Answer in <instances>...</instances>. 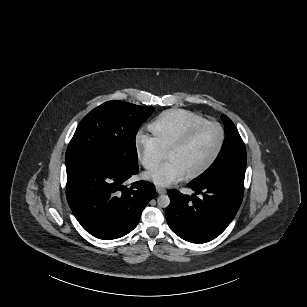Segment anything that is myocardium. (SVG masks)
Instances as JSON below:
<instances>
[{"instance_id": "myocardium-1", "label": "myocardium", "mask_w": 307, "mask_h": 307, "mask_svg": "<svg viewBox=\"0 0 307 307\" xmlns=\"http://www.w3.org/2000/svg\"><path fill=\"white\" fill-rule=\"evenodd\" d=\"M212 126H217V127L220 128L221 133H222L221 143H220L217 151L212 156V158L203 167H201L199 170L185 176V179H187V180L196 179V178L206 174L216 164V162L219 160V158L221 157V155H222V153L225 149L226 143H227V130H226L225 126L223 124L219 123V122H208V123L202 124V125L194 128L193 130L189 131L182 138L174 141L166 149V151L164 153V158L166 159L168 154L183 149L192 140H194L199 135V133L201 131H203L204 129H206L208 127H212Z\"/></svg>"}]
</instances>
